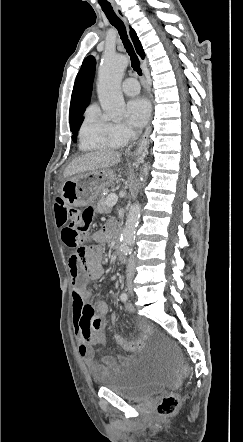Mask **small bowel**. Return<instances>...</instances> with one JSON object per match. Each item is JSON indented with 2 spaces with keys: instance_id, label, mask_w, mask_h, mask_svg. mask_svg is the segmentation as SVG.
Returning a JSON list of instances; mask_svg holds the SVG:
<instances>
[{
  "instance_id": "1",
  "label": "small bowel",
  "mask_w": 243,
  "mask_h": 442,
  "mask_svg": "<svg viewBox=\"0 0 243 442\" xmlns=\"http://www.w3.org/2000/svg\"><path fill=\"white\" fill-rule=\"evenodd\" d=\"M113 229V224H105L94 232L93 239L96 244L85 248L79 260L70 257L68 262L73 284V326L78 340V353L95 380L107 376L127 358L126 356L97 357L95 347L102 348L105 344L104 329L109 306L104 300L88 302L87 282L103 276L104 252L101 244L111 236ZM125 307L129 311L133 309L129 304ZM140 327L142 333L137 339L126 340L123 336L115 334V342L125 352L140 350L151 332L148 325L141 324Z\"/></svg>"
}]
</instances>
